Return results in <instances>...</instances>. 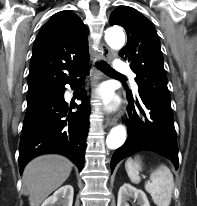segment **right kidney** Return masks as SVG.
<instances>
[{
  "instance_id": "ca27d5eb",
  "label": "right kidney",
  "mask_w": 197,
  "mask_h": 206,
  "mask_svg": "<svg viewBox=\"0 0 197 206\" xmlns=\"http://www.w3.org/2000/svg\"><path fill=\"white\" fill-rule=\"evenodd\" d=\"M74 189L72 185H64L46 199L41 206H72Z\"/></svg>"
}]
</instances>
